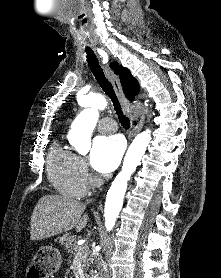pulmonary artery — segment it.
I'll return each mask as SVG.
<instances>
[{
  "label": "pulmonary artery",
  "mask_w": 221,
  "mask_h": 278,
  "mask_svg": "<svg viewBox=\"0 0 221 278\" xmlns=\"http://www.w3.org/2000/svg\"><path fill=\"white\" fill-rule=\"evenodd\" d=\"M98 129L102 133H112L117 130V126L112 119L104 118L99 122Z\"/></svg>",
  "instance_id": "e3ab8cb5"
}]
</instances>
